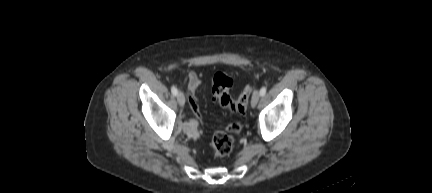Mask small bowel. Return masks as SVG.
I'll list each match as a JSON object with an SVG mask.
<instances>
[{
	"label": "small bowel",
	"instance_id": "small-bowel-1",
	"mask_svg": "<svg viewBox=\"0 0 432 193\" xmlns=\"http://www.w3.org/2000/svg\"><path fill=\"white\" fill-rule=\"evenodd\" d=\"M200 84H201L200 76L194 71L190 72L188 74V81H187V90L190 94L189 105L192 112L197 116H200V108L196 97V92ZM227 130L233 133H238L241 130V124L237 122L231 123L227 127Z\"/></svg>",
	"mask_w": 432,
	"mask_h": 193
}]
</instances>
